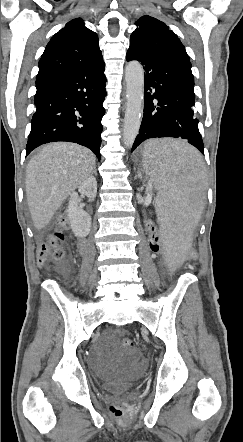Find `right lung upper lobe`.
Returning a JSON list of instances; mask_svg holds the SVG:
<instances>
[{"mask_svg":"<svg viewBox=\"0 0 243 442\" xmlns=\"http://www.w3.org/2000/svg\"><path fill=\"white\" fill-rule=\"evenodd\" d=\"M102 61L97 34L86 28L80 18L73 19L47 44L39 61L36 78L68 69L93 66Z\"/></svg>","mask_w":243,"mask_h":442,"instance_id":"1","label":"right lung upper lobe"}]
</instances>
